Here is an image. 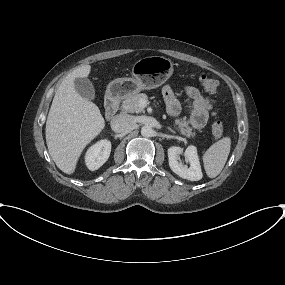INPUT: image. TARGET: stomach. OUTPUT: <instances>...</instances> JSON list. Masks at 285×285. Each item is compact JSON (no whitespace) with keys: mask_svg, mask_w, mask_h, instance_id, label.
I'll return each instance as SVG.
<instances>
[{"mask_svg":"<svg viewBox=\"0 0 285 285\" xmlns=\"http://www.w3.org/2000/svg\"><path fill=\"white\" fill-rule=\"evenodd\" d=\"M173 70V62L163 56L141 58L132 67V77L111 81L106 93L112 98H126L141 90L157 88L171 77Z\"/></svg>","mask_w":285,"mask_h":285,"instance_id":"obj_1","label":"stomach"}]
</instances>
